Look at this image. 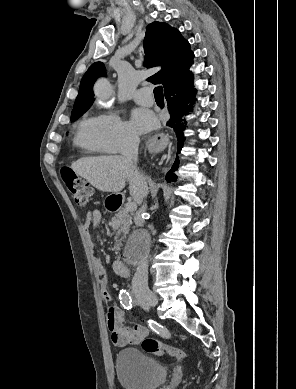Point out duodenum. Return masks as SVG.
I'll return each mask as SVG.
<instances>
[{
    "mask_svg": "<svg viewBox=\"0 0 296 389\" xmlns=\"http://www.w3.org/2000/svg\"><path fill=\"white\" fill-rule=\"evenodd\" d=\"M121 205V199H113L108 204L110 211H116ZM114 272L121 277H128L130 274L129 268L123 261H115L113 263Z\"/></svg>",
    "mask_w": 296,
    "mask_h": 389,
    "instance_id": "1",
    "label": "duodenum"
}]
</instances>
